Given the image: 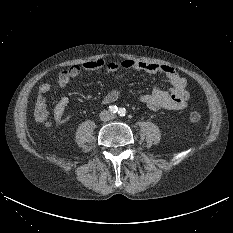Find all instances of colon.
<instances>
[{"label": "colon", "instance_id": "1", "mask_svg": "<svg viewBox=\"0 0 233 233\" xmlns=\"http://www.w3.org/2000/svg\"><path fill=\"white\" fill-rule=\"evenodd\" d=\"M43 117H44V111H41L39 113V118H43ZM189 120L193 123H197L201 120V115L197 111L192 110L189 113Z\"/></svg>", "mask_w": 233, "mask_h": 233}]
</instances>
